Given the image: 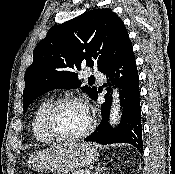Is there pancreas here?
I'll list each match as a JSON object with an SVG mask.
<instances>
[{"instance_id": "pancreas-1", "label": "pancreas", "mask_w": 175, "mask_h": 174, "mask_svg": "<svg viewBox=\"0 0 175 174\" xmlns=\"http://www.w3.org/2000/svg\"><path fill=\"white\" fill-rule=\"evenodd\" d=\"M72 174H84V171L79 169V170L73 171Z\"/></svg>"}]
</instances>
